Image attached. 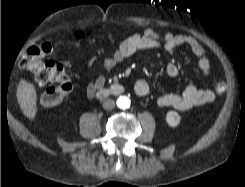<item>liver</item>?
I'll return each instance as SVG.
<instances>
[{
	"label": "liver",
	"mask_w": 245,
	"mask_h": 187,
	"mask_svg": "<svg viewBox=\"0 0 245 187\" xmlns=\"http://www.w3.org/2000/svg\"><path fill=\"white\" fill-rule=\"evenodd\" d=\"M16 96L23 114L33 120L37 113V94L34 85L21 79L17 87Z\"/></svg>",
	"instance_id": "obj_1"
}]
</instances>
